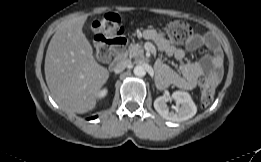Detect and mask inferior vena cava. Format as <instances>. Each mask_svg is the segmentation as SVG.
Segmentation results:
<instances>
[{"label": "inferior vena cava", "mask_w": 261, "mask_h": 162, "mask_svg": "<svg viewBox=\"0 0 261 162\" xmlns=\"http://www.w3.org/2000/svg\"><path fill=\"white\" fill-rule=\"evenodd\" d=\"M131 64V61L129 59H122L120 61H118L114 67H113V71L115 73H120L122 72L125 68H127L129 65Z\"/></svg>", "instance_id": "obj_1"}]
</instances>
